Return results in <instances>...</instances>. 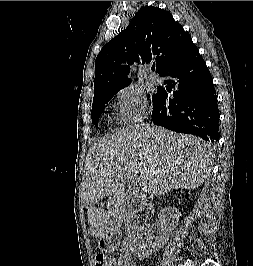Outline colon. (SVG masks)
I'll list each match as a JSON object with an SVG mask.
<instances>
[{
    "instance_id": "obj_1",
    "label": "colon",
    "mask_w": 253,
    "mask_h": 266,
    "mask_svg": "<svg viewBox=\"0 0 253 266\" xmlns=\"http://www.w3.org/2000/svg\"><path fill=\"white\" fill-rule=\"evenodd\" d=\"M95 266H115V261L106 255L98 254L95 257Z\"/></svg>"
}]
</instances>
